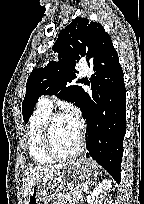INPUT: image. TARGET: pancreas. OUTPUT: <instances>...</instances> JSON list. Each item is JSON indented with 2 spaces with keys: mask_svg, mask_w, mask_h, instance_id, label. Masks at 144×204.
<instances>
[{
  "mask_svg": "<svg viewBox=\"0 0 144 204\" xmlns=\"http://www.w3.org/2000/svg\"><path fill=\"white\" fill-rule=\"evenodd\" d=\"M78 192L76 190H72L66 194H61L58 196L60 201L59 204H78L79 198L76 197L75 193Z\"/></svg>",
  "mask_w": 144,
  "mask_h": 204,
  "instance_id": "obj_1",
  "label": "pancreas"
}]
</instances>
